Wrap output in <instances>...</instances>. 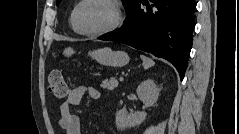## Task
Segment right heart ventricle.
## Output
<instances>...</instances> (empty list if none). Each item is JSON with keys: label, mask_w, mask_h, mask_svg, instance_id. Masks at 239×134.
Here are the masks:
<instances>
[{"label": "right heart ventricle", "mask_w": 239, "mask_h": 134, "mask_svg": "<svg viewBox=\"0 0 239 134\" xmlns=\"http://www.w3.org/2000/svg\"><path fill=\"white\" fill-rule=\"evenodd\" d=\"M74 9H75V8H74ZM73 11H74V10H73ZM73 11H72L71 16H70V22H71V24H72V15H73ZM72 28H73L74 31H76V30L74 29L73 25H72Z\"/></svg>", "instance_id": "1"}]
</instances>
